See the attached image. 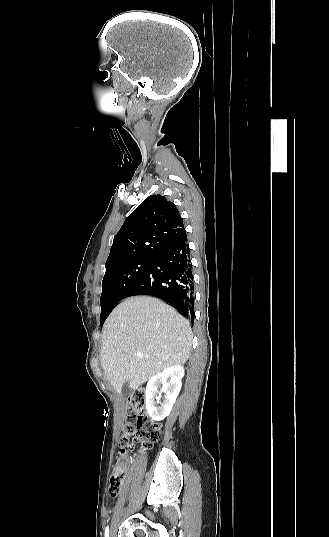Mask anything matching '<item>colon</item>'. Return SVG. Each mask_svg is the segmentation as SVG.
<instances>
[{
  "label": "colon",
  "mask_w": 329,
  "mask_h": 537,
  "mask_svg": "<svg viewBox=\"0 0 329 537\" xmlns=\"http://www.w3.org/2000/svg\"><path fill=\"white\" fill-rule=\"evenodd\" d=\"M146 401L147 396L143 389L135 390L127 397L128 412L118 443L121 455H125L135 443L149 448L161 437L160 424L152 421L146 413ZM124 479V460L120 458L113 468L110 478L109 493L111 496L119 494Z\"/></svg>",
  "instance_id": "1"
}]
</instances>
